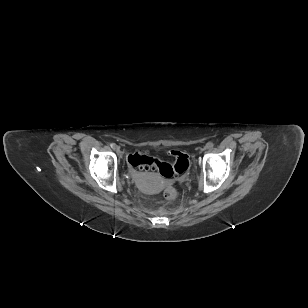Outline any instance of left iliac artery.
Segmentation results:
<instances>
[{"mask_svg": "<svg viewBox=\"0 0 308 308\" xmlns=\"http://www.w3.org/2000/svg\"><path fill=\"white\" fill-rule=\"evenodd\" d=\"M207 148H212L213 147V143L211 141H209L207 144H206Z\"/></svg>", "mask_w": 308, "mask_h": 308, "instance_id": "left-iliac-artery-1", "label": "left iliac artery"}]
</instances>
